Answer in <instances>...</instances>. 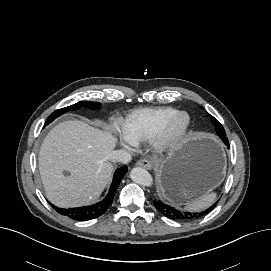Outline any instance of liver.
Instances as JSON below:
<instances>
[{"instance_id":"6515ba94","label":"liver","mask_w":271,"mask_h":271,"mask_svg":"<svg viewBox=\"0 0 271 271\" xmlns=\"http://www.w3.org/2000/svg\"><path fill=\"white\" fill-rule=\"evenodd\" d=\"M116 138L79 121L56 125L39 153V170L47 199L69 208L95 202L107 186L114 167L110 153ZM64 171L69 175H64Z\"/></svg>"}]
</instances>
